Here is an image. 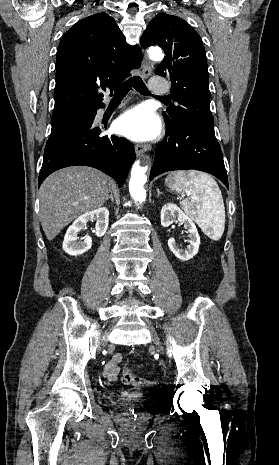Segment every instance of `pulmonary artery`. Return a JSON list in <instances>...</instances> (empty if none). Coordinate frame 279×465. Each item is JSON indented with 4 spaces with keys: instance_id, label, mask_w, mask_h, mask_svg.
Wrapping results in <instances>:
<instances>
[{
    "instance_id": "1",
    "label": "pulmonary artery",
    "mask_w": 279,
    "mask_h": 465,
    "mask_svg": "<svg viewBox=\"0 0 279 465\" xmlns=\"http://www.w3.org/2000/svg\"><path fill=\"white\" fill-rule=\"evenodd\" d=\"M151 90L157 94H165L168 92V86L163 83L159 78H153L151 81Z\"/></svg>"
}]
</instances>
